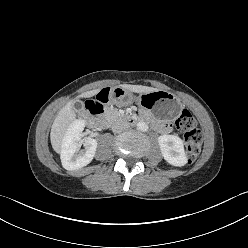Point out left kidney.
<instances>
[{
    "label": "left kidney",
    "mask_w": 248,
    "mask_h": 248,
    "mask_svg": "<svg viewBox=\"0 0 248 248\" xmlns=\"http://www.w3.org/2000/svg\"><path fill=\"white\" fill-rule=\"evenodd\" d=\"M158 143L162 156L169 164L173 166H184L187 163L181 138L176 135H161L158 137Z\"/></svg>",
    "instance_id": "obj_1"
}]
</instances>
